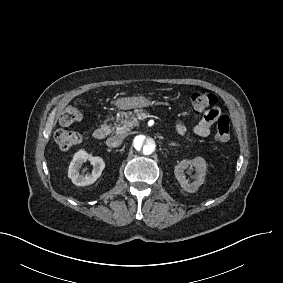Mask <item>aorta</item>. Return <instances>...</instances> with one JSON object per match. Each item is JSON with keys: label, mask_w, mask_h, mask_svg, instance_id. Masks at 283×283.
Listing matches in <instances>:
<instances>
[{"label": "aorta", "mask_w": 283, "mask_h": 283, "mask_svg": "<svg viewBox=\"0 0 283 283\" xmlns=\"http://www.w3.org/2000/svg\"><path fill=\"white\" fill-rule=\"evenodd\" d=\"M158 150L156 138L149 133H138L132 138L131 152L140 158L154 157Z\"/></svg>", "instance_id": "1"}]
</instances>
